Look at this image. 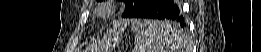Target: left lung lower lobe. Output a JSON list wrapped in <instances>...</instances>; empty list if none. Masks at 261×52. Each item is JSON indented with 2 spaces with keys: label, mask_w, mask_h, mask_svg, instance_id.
<instances>
[{
  "label": "left lung lower lobe",
  "mask_w": 261,
  "mask_h": 52,
  "mask_svg": "<svg viewBox=\"0 0 261 52\" xmlns=\"http://www.w3.org/2000/svg\"><path fill=\"white\" fill-rule=\"evenodd\" d=\"M136 17L155 18L166 20L171 23L174 29L183 26V18L180 16V10L171 0H154L150 5L144 8ZM174 33H177L175 31ZM170 32L166 36L172 35Z\"/></svg>",
  "instance_id": "obj_1"
}]
</instances>
